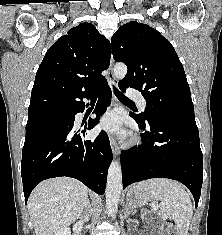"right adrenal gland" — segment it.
<instances>
[{
	"mask_svg": "<svg viewBox=\"0 0 222 235\" xmlns=\"http://www.w3.org/2000/svg\"><path fill=\"white\" fill-rule=\"evenodd\" d=\"M90 207H91L90 202H89V200H87V203H86V206H85L86 211H90Z\"/></svg>",
	"mask_w": 222,
	"mask_h": 235,
	"instance_id": "obj_1",
	"label": "right adrenal gland"
}]
</instances>
